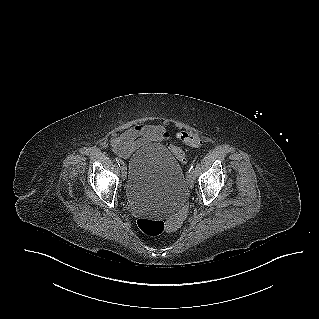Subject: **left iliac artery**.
Instances as JSON below:
<instances>
[{
	"mask_svg": "<svg viewBox=\"0 0 319 319\" xmlns=\"http://www.w3.org/2000/svg\"><path fill=\"white\" fill-rule=\"evenodd\" d=\"M189 173L192 174V176L194 177V169H193V164L190 166L189 168Z\"/></svg>",
	"mask_w": 319,
	"mask_h": 319,
	"instance_id": "left-iliac-artery-1",
	"label": "left iliac artery"
}]
</instances>
